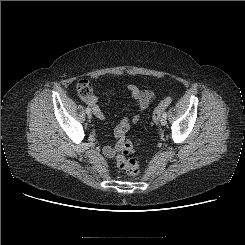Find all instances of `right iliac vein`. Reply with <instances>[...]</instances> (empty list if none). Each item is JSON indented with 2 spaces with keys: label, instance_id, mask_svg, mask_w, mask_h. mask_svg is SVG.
Segmentation results:
<instances>
[{
  "label": "right iliac vein",
  "instance_id": "63e3f726",
  "mask_svg": "<svg viewBox=\"0 0 245 245\" xmlns=\"http://www.w3.org/2000/svg\"><path fill=\"white\" fill-rule=\"evenodd\" d=\"M87 117H88L89 119H91V118H92V114H91V113H87Z\"/></svg>",
  "mask_w": 245,
  "mask_h": 245
}]
</instances>
